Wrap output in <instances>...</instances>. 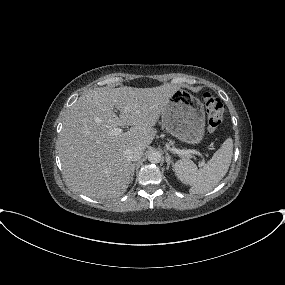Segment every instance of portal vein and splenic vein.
I'll return each instance as SVG.
<instances>
[{"mask_svg": "<svg viewBox=\"0 0 285 285\" xmlns=\"http://www.w3.org/2000/svg\"><path fill=\"white\" fill-rule=\"evenodd\" d=\"M127 110V108L125 109V111ZM123 130L121 128H114L111 133L113 135H117V134H120L122 133ZM171 151L175 154H178V155H188L189 153H195V154H199L198 152L196 151H190V150H178V149H175V148H172Z\"/></svg>", "mask_w": 285, "mask_h": 285, "instance_id": "obj_1", "label": "portal vein and splenic vein"}]
</instances>
